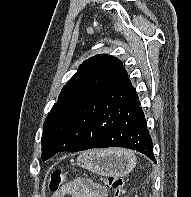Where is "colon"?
<instances>
[{
  "mask_svg": "<svg viewBox=\"0 0 191 197\" xmlns=\"http://www.w3.org/2000/svg\"><path fill=\"white\" fill-rule=\"evenodd\" d=\"M66 172L63 170H53L50 174L49 180V190L52 192H57L61 185L66 180ZM104 183L107 188L114 191V197H120L123 192V179L118 176L108 175L104 178Z\"/></svg>",
  "mask_w": 191,
  "mask_h": 197,
  "instance_id": "5ec220e1",
  "label": "colon"
}]
</instances>
